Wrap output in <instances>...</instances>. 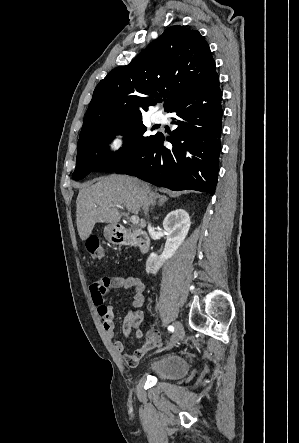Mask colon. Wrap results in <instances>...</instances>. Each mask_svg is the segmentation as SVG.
Listing matches in <instances>:
<instances>
[{
	"mask_svg": "<svg viewBox=\"0 0 299 443\" xmlns=\"http://www.w3.org/2000/svg\"><path fill=\"white\" fill-rule=\"evenodd\" d=\"M86 248L93 259L102 260L105 258V249L97 236L91 235L86 239Z\"/></svg>",
	"mask_w": 299,
	"mask_h": 443,
	"instance_id": "1",
	"label": "colon"
}]
</instances>
